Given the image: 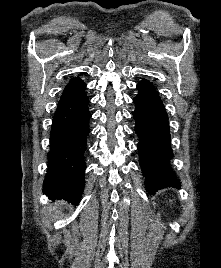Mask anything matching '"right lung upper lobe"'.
<instances>
[{"label": "right lung upper lobe", "mask_w": 221, "mask_h": 268, "mask_svg": "<svg viewBox=\"0 0 221 268\" xmlns=\"http://www.w3.org/2000/svg\"><path fill=\"white\" fill-rule=\"evenodd\" d=\"M85 87V83L78 77L72 79L65 87V90L63 91L62 96L60 98V102L68 101L79 97L84 93Z\"/></svg>", "instance_id": "obj_1"}]
</instances>
